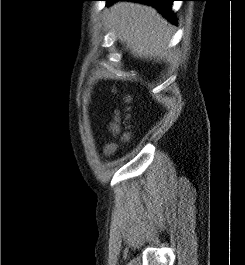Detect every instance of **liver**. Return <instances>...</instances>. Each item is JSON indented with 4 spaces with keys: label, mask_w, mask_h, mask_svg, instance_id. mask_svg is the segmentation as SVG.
<instances>
[{
    "label": "liver",
    "mask_w": 245,
    "mask_h": 265,
    "mask_svg": "<svg viewBox=\"0 0 245 265\" xmlns=\"http://www.w3.org/2000/svg\"><path fill=\"white\" fill-rule=\"evenodd\" d=\"M106 17L116 37L140 58L170 57L172 26L156 9L140 3L117 2Z\"/></svg>",
    "instance_id": "obj_1"
}]
</instances>
